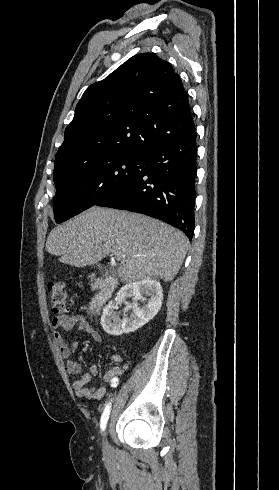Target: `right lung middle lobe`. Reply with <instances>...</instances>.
Listing matches in <instances>:
<instances>
[{
  "label": "right lung middle lobe",
  "instance_id": "1",
  "mask_svg": "<svg viewBox=\"0 0 279 490\" xmlns=\"http://www.w3.org/2000/svg\"><path fill=\"white\" fill-rule=\"evenodd\" d=\"M144 159L133 155L109 154L54 177L56 222H64L96 205L139 177L145 169Z\"/></svg>",
  "mask_w": 279,
  "mask_h": 490
}]
</instances>
